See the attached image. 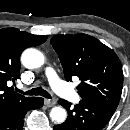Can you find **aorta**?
Instances as JSON below:
<instances>
[{"label":"aorta","mask_w":130,"mask_h":130,"mask_svg":"<svg viewBox=\"0 0 130 130\" xmlns=\"http://www.w3.org/2000/svg\"><path fill=\"white\" fill-rule=\"evenodd\" d=\"M21 62L26 68L34 69L41 67L45 62V58L39 50L28 48L22 53ZM49 115L53 122L60 124L66 120L67 112L63 107L56 106L51 109Z\"/></svg>","instance_id":"762f6f07"}]
</instances>
